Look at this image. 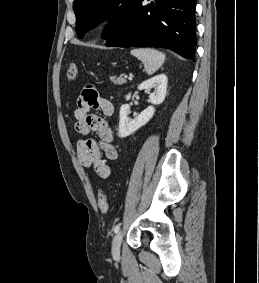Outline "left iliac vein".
<instances>
[{"label": "left iliac vein", "instance_id": "4c4485c4", "mask_svg": "<svg viewBox=\"0 0 259 283\" xmlns=\"http://www.w3.org/2000/svg\"><path fill=\"white\" fill-rule=\"evenodd\" d=\"M121 242H122V232L119 231L112 242V254L114 256H118L120 254V246H121Z\"/></svg>", "mask_w": 259, "mask_h": 283}]
</instances>
